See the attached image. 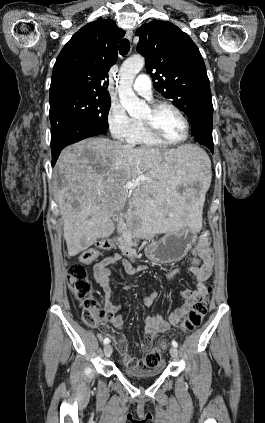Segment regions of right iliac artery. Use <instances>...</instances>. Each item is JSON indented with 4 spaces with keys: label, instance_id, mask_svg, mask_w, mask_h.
Listing matches in <instances>:
<instances>
[{
    "label": "right iliac artery",
    "instance_id": "82829eb1",
    "mask_svg": "<svg viewBox=\"0 0 265 423\" xmlns=\"http://www.w3.org/2000/svg\"><path fill=\"white\" fill-rule=\"evenodd\" d=\"M103 342H104V344H108L110 342V340H109V338H105Z\"/></svg>",
    "mask_w": 265,
    "mask_h": 423
}]
</instances>
